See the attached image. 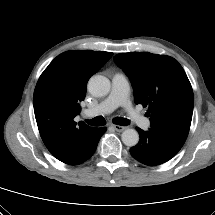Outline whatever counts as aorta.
Instances as JSON below:
<instances>
[{
	"label": "aorta",
	"instance_id": "aorta-1",
	"mask_svg": "<svg viewBox=\"0 0 215 215\" xmlns=\"http://www.w3.org/2000/svg\"><path fill=\"white\" fill-rule=\"evenodd\" d=\"M111 84L108 78L102 75H94L88 82V91L95 97H102L109 93ZM122 142L129 147L137 145L139 134L135 129H126L123 131Z\"/></svg>",
	"mask_w": 215,
	"mask_h": 215
}]
</instances>
